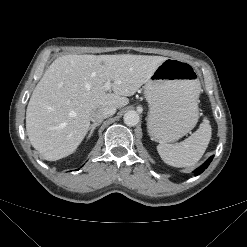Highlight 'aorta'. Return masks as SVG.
<instances>
[{
	"label": "aorta",
	"instance_id": "obj_1",
	"mask_svg": "<svg viewBox=\"0 0 247 247\" xmlns=\"http://www.w3.org/2000/svg\"><path fill=\"white\" fill-rule=\"evenodd\" d=\"M123 119L127 126H136L140 121V116L136 111H128L124 114Z\"/></svg>",
	"mask_w": 247,
	"mask_h": 247
}]
</instances>
